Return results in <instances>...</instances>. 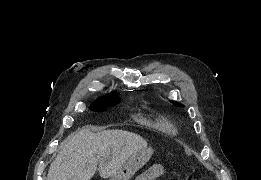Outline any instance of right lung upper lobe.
<instances>
[{
	"mask_svg": "<svg viewBox=\"0 0 261 180\" xmlns=\"http://www.w3.org/2000/svg\"><path fill=\"white\" fill-rule=\"evenodd\" d=\"M107 98H119V97L117 96V93L112 92V93L108 94L107 96L100 98V99H107Z\"/></svg>",
	"mask_w": 261,
	"mask_h": 180,
	"instance_id": "cb5924a9",
	"label": "right lung upper lobe"
}]
</instances>
